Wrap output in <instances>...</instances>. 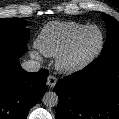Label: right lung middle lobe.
<instances>
[{
    "label": "right lung middle lobe",
    "mask_w": 119,
    "mask_h": 119,
    "mask_svg": "<svg viewBox=\"0 0 119 119\" xmlns=\"http://www.w3.org/2000/svg\"><path fill=\"white\" fill-rule=\"evenodd\" d=\"M29 30L19 18L0 19V46L27 51Z\"/></svg>",
    "instance_id": "dd1d6c3e"
}]
</instances>
